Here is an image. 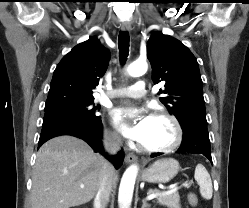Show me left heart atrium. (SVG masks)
<instances>
[{"mask_svg": "<svg viewBox=\"0 0 249 208\" xmlns=\"http://www.w3.org/2000/svg\"><path fill=\"white\" fill-rule=\"evenodd\" d=\"M129 108H116L112 111V122L126 138L142 143L148 133L152 116L142 112L137 119L129 118Z\"/></svg>", "mask_w": 249, "mask_h": 208, "instance_id": "obj_1", "label": "left heart atrium"}]
</instances>
